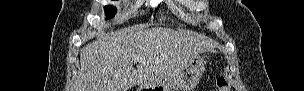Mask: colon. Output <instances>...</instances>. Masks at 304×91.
<instances>
[{"label":"colon","instance_id":"colon-1","mask_svg":"<svg viewBox=\"0 0 304 91\" xmlns=\"http://www.w3.org/2000/svg\"><path fill=\"white\" fill-rule=\"evenodd\" d=\"M216 90L218 91H231L230 84L223 77H218L216 80Z\"/></svg>","mask_w":304,"mask_h":91}]
</instances>
